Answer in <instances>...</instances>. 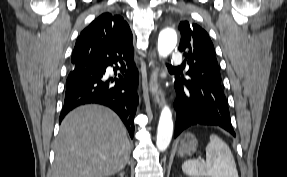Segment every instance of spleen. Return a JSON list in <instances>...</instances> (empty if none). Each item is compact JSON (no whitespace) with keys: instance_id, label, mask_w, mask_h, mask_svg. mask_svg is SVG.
<instances>
[{"instance_id":"3e777b00","label":"spleen","mask_w":287,"mask_h":177,"mask_svg":"<svg viewBox=\"0 0 287 177\" xmlns=\"http://www.w3.org/2000/svg\"><path fill=\"white\" fill-rule=\"evenodd\" d=\"M182 170L190 177H239L229 146L217 135L210 136L206 147V162L188 160Z\"/></svg>"}]
</instances>
